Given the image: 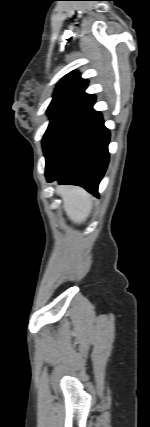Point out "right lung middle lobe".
Wrapping results in <instances>:
<instances>
[{"label":"right lung middle lobe","mask_w":150,"mask_h":427,"mask_svg":"<svg viewBox=\"0 0 150 427\" xmlns=\"http://www.w3.org/2000/svg\"><path fill=\"white\" fill-rule=\"evenodd\" d=\"M81 111L76 109H48L50 124L43 137V149L47 158L56 141L61 136L66 127Z\"/></svg>","instance_id":"dd1d6c3e"}]
</instances>
